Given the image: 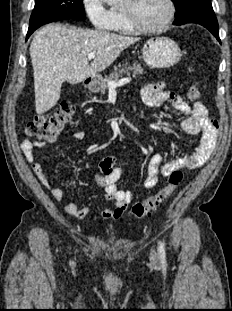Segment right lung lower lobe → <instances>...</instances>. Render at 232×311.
I'll return each instance as SVG.
<instances>
[{
	"label": "right lung lower lobe",
	"instance_id": "obj_1",
	"mask_svg": "<svg viewBox=\"0 0 232 311\" xmlns=\"http://www.w3.org/2000/svg\"><path fill=\"white\" fill-rule=\"evenodd\" d=\"M65 19H71V18H65V17L52 18V19H48V20H45V21H42V22L30 25L29 29H28L27 36H26V40L40 26H42L44 24H47V23H50V22L59 21V20H65Z\"/></svg>",
	"mask_w": 232,
	"mask_h": 311
}]
</instances>
